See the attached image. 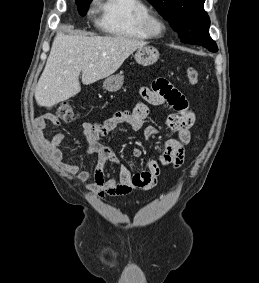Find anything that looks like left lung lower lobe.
Returning a JSON list of instances; mask_svg holds the SVG:
<instances>
[{
    "label": "left lung lower lobe",
    "instance_id": "1",
    "mask_svg": "<svg viewBox=\"0 0 259 283\" xmlns=\"http://www.w3.org/2000/svg\"><path fill=\"white\" fill-rule=\"evenodd\" d=\"M201 46L207 48L211 52H217L218 51L217 45L215 43L209 44V45H201Z\"/></svg>",
    "mask_w": 259,
    "mask_h": 283
}]
</instances>
